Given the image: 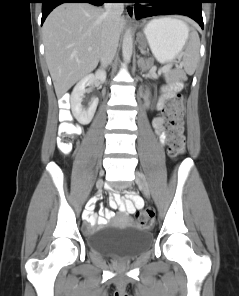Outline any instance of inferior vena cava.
I'll return each mask as SVG.
<instances>
[{
  "label": "inferior vena cava",
  "mask_w": 239,
  "mask_h": 296,
  "mask_svg": "<svg viewBox=\"0 0 239 296\" xmlns=\"http://www.w3.org/2000/svg\"><path fill=\"white\" fill-rule=\"evenodd\" d=\"M104 18L106 23L102 31V43L100 49L101 68L111 64L116 54L119 42L118 22L124 10L123 3H105Z\"/></svg>",
  "instance_id": "obj_1"
}]
</instances>
